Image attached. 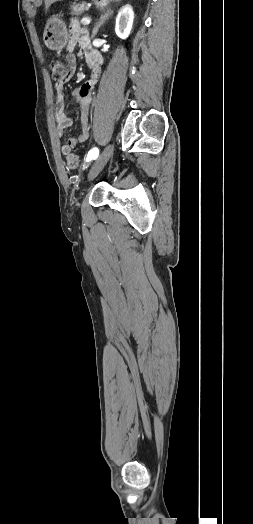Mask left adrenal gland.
<instances>
[{
  "label": "left adrenal gland",
  "instance_id": "a2214340",
  "mask_svg": "<svg viewBox=\"0 0 253 524\" xmlns=\"http://www.w3.org/2000/svg\"><path fill=\"white\" fill-rule=\"evenodd\" d=\"M112 14H113V10L111 8H108L106 12L100 16L99 21L96 23L92 31V38H94L97 35L99 28L105 23L108 17L111 16Z\"/></svg>",
  "mask_w": 253,
  "mask_h": 524
}]
</instances>
